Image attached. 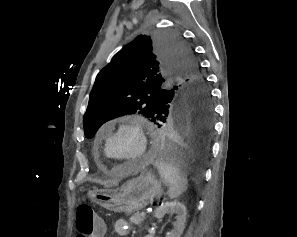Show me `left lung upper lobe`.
Returning a JSON list of instances; mask_svg holds the SVG:
<instances>
[{
	"instance_id": "5c2ea615",
	"label": "left lung upper lobe",
	"mask_w": 297,
	"mask_h": 237,
	"mask_svg": "<svg viewBox=\"0 0 297 237\" xmlns=\"http://www.w3.org/2000/svg\"><path fill=\"white\" fill-rule=\"evenodd\" d=\"M209 100L200 67L179 35H140L97 75L83 118L84 133L92 138L106 121L131 113L160 125L174 104Z\"/></svg>"
}]
</instances>
